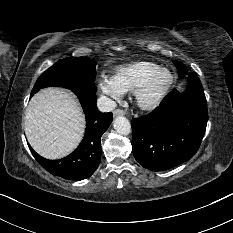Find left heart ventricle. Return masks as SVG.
<instances>
[{"instance_id": "1", "label": "left heart ventricle", "mask_w": 233, "mask_h": 233, "mask_svg": "<svg viewBox=\"0 0 233 233\" xmlns=\"http://www.w3.org/2000/svg\"><path fill=\"white\" fill-rule=\"evenodd\" d=\"M168 80V74L167 73H161L153 82L151 89H150V94L156 93L158 90H160L164 84Z\"/></svg>"}]
</instances>
